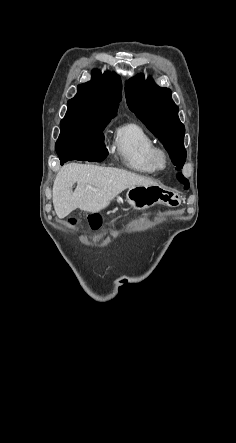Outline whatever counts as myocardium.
Listing matches in <instances>:
<instances>
[{
  "label": "myocardium",
  "mask_w": 236,
  "mask_h": 443,
  "mask_svg": "<svg viewBox=\"0 0 236 443\" xmlns=\"http://www.w3.org/2000/svg\"><path fill=\"white\" fill-rule=\"evenodd\" d=\"M153 159L158 169H164L168 165L169 156L165 149L155 147L153 151Z\"/></svg>",
  "instance_id": "obj_1"
}]
</instances>
